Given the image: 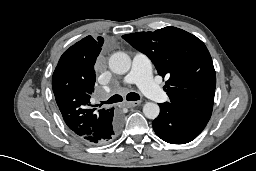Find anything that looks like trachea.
Returning a JSON list of instances; mask_svg holds the SVG:
<instances>
[{
	"label": "trachea",
	"instance_id": "obj_1",
	"mask_svg": "<svg viewBox=\"0 0 256 171\" xmlns=\"http://www.w3.org/2000/svg\"><path fill=\"white\" fill-rule=\"evenodd\" d=\"M126 99L128 101H136L140 99V96L137 93L130 92L127 94ZM123 100L122 96L115 94L109 100L102 102V104H113L117 102H121Z\"/></svg>",
	"mask_w": 256,
	"mask_h": 171
}]
</instances>
